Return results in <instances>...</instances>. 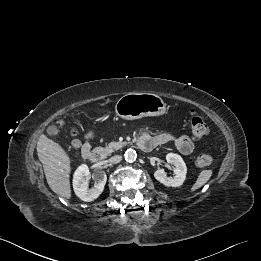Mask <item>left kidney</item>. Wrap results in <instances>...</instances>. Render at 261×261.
I'll return each mask as SVG.
<instances>
[{
    "instance_id": "obj_1",
    "label": "left kidney",
    "mask_w": 261,
    "mask_h": 261,
    "mask_svg": "<svg viewBox=\"0 0 261 261\" xmlns=\"http://www.w3.org/2000/svg\"><path fill=\"white\" fill-rule=\"evenodd\" d=\"M166 160L169 164L174 166V178L167 177L164 169H158L154 173L155 179L158 180L160 183L164 184L165 186H181L186 178L187 173V167L184 160L180 155L174 153L167 154Z\"/></svg>"
}]
</instances>
